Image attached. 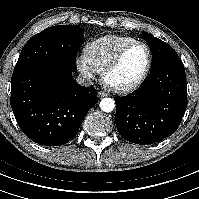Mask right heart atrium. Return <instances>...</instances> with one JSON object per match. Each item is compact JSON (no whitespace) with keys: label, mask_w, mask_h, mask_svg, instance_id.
Returning <instances> with one entry per match:
<instances>
[{"label":"right heart atrium","mask_w":199,"mask_h":199,"mask_svg":"<svg viewBox=\"0 0 199 199\" xmlns=\"http://www.w3.org/2000/svg\"><path fill=\"white\" fill-rule=\"evenodd\" d=\"M76 66L89 82L96 80L101 75V71L95 66L87 51H82L77 55Z\"/></svg>","instance_id":"obj_1"}]
</instances>
